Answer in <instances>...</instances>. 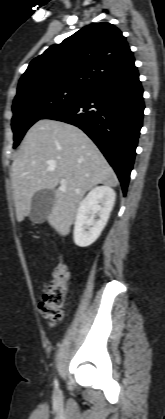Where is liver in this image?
Instances as JSON below:
<instances>
[{
	"mask_svg": "<svg viewBox=\"0 0 165 419\" xmlns=\"http://www.w3.org/2000/svg\"><path fill=\"white\" fill-rule=\"evenodd\" d=\"M61 179L66 180L65 186H59ZM11 181L19 222L30 214L36 192H54L55 202L47 220L63 236L69 234L87 191L97 184L118 185L114 170L82 130L49 119L39 120L26 133L19 156L12 163Z\"/></svg>",
	"mask_w": 165,
	"mask_h": 419,
	"instance_id": "1",
	"label": "liver"
}]
</instances>
